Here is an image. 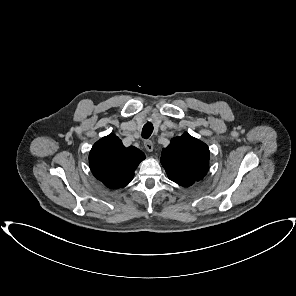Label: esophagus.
<instances>
[{"label":"esophagus","mask_w":296,"mask_h":296,"mask_svg":"<svg viewBox=\"0 0 296 296\" xmlns=\"http://www.w3.org/2000/svg\"><path fill=\"white\" fill-rule=\"evenodd\" d=\"M144 147H145L146 151H148V152H152L153 148H154L153 143L150 140L144 141Z\"/></svg>","instance_id":"obj_1"}]
</instances>
